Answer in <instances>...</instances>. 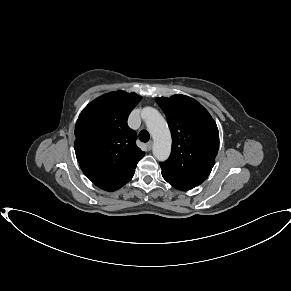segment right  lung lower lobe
I'll list each match as a JSON object with an SVG mask.
<instances>
[{"label": "right lung lower lobe", "mask_w": 291, "mask_h": 291, "mask_svg": "<svg viewBox=\"0 0 291 291\" xmlns=\"http://www.w3.org/2000/svg\"><path fill=\"white\" fill-rule=\"evenodd\" d=\"M133 175L134 173L122 181L101 182V183H95V185L105 191H115L121 188L123 185H125L129 180H131Z\"/></svg>", "instance_id": "right-lung-lower-lobe-1"}]
</instances>
